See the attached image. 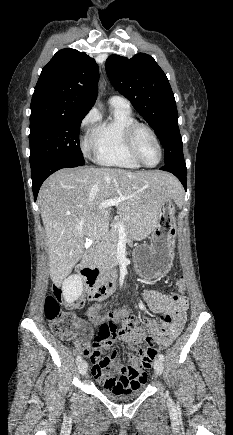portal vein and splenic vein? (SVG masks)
<instances>
[{
	"mask_svg": "<svg viewBox=\"0 0 233 435\" xmlns=\"http://www.w3.org/2000/svg\"><path fill=\"white\" fill-rule=\"evenodd\" d=\"M122 200H123V198H115V199L106 200V201H103V202L99 205L98 208H99V209H103V208H107V207H109V206H114V205L118 206V204H119ZM116 226L118 227L119 232H120L121 234H125L126 227H125V225H124V223H123L122 221L117 222V223H116Z\"/></svg>",
	"mask_w": 233,
	"mask_h": 435,
	"instance_id": "18ae733b",
	"label": "portal vein and splenic vein"
}]
</instances>
